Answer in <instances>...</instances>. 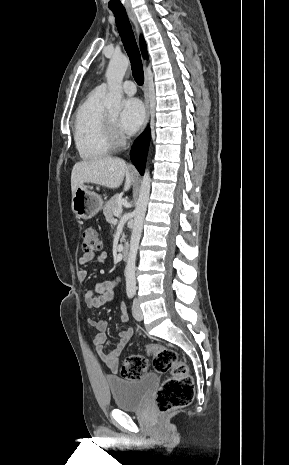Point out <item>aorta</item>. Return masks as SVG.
Segmentation results:
<instances>
[{"label": "aorta", "instance_id": "obj_1", "mask_svg": "<svg viewBox=\"0 0 289 465\" xmlns=\"http://www.w3.org/2000/svg\"><path fill=\"white\" fill-rule=\"evenodd\" d=\"M129 66V59L125 56H114L111 58L106 70L108 94L104 104L108 110L120 112L122 110V81ZM150 173L146 169L140 187L139 198L134 210V226L130 239L129 256L125 269L126 289L134 292L136 290V256L141 238L143 222L147 210L150 194Z\"/></svg>", "mask_w": 289, "mask_h": 465}]
</instances>
